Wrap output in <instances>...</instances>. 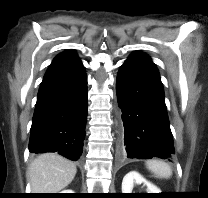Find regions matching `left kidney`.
<instances>
[{"instance_id":"5707ae66","label":"left kidney","mask_w":208,"mask_h":198,"mask_svg":"<svg viewBox=\"0 0 208 198\" xmlns=\"http://www.w3.org/2000/svg\"><path fill=\"white\" fill-rule=\"evenodd\" d=\"M134 183L143 184L147 187V193H160V189L147 181L138 172L131 171L127 173L122 181V193H132Z\"/></svg>"}]
</instances>
